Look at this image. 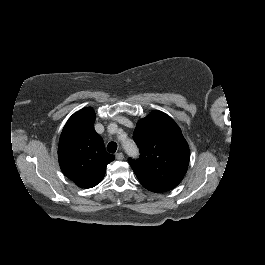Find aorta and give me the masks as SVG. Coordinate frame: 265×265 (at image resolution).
I'll return each mask as SVG.
<instances>
[{"label":"aorta","instance_id":"762f6f07","mask_svg":"<svg viewBox=\"0 0 265 265\" xmlns=\"http://www.w3.org/2000/svg\"><path fill=\"white\" fill-rule=\"evenodd\" d=\"M123 147L128 155L136 156V148L131 142L125 141Z\"/></svg>","mask_w":265,"mask_h":265}]
</instances>
